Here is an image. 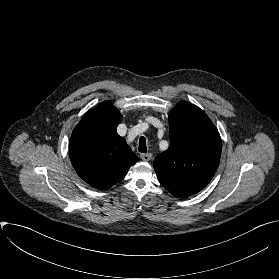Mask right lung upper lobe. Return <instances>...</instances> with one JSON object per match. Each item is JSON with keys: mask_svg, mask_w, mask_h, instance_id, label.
I'll return each instance as SVG.
<instances>
[{"mask_svg": "<svg viewBox=\"0 0 279 279\" xmlns=\"http://www.w3.org/2000/svg\"><path fill=\"white\" fill-rule=\"evenodd\" d=\"M121 113L108 102L90 110L73 130L70 159L77 174L92 187L108 189L122 180L138 161L117 134Z\"/></svg>", "mask_w": 279, "mask_h": 279, "instance_id": "right-lung-upper-lobe-1", "label": "right lung upper lobe"}]
</instances>
